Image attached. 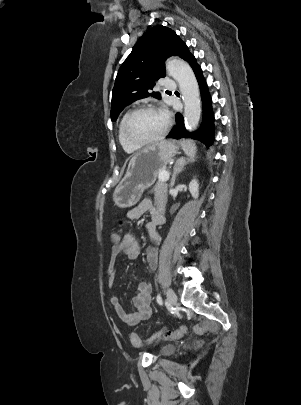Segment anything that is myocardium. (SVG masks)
Segmentation results:
<instances>
[{"instance_id": "obj_1", "label": "myocardium", "mask_w": 301, "mask_h": 405, "mask_svg": "<svg viewBox=\"0 0 301 405\" xmlns=\"http://www.w3.org/2000/svg\"><path fill=\"white\" fill-rule=\"evenodd\" d=\"M142 111H158L160 113L163 114L164 118H165V125L162 129V131L155 137L148 139V140H136L134 139L130 134H129V123L132 119L133 116H135L137 113H140ZM171 126V121L170 118L168 117L167 114H165L164 112L160 111L157 107H155L154 105H142L139 107H136L135 109L131 110L124 118L123 121V125H122V134L124 139L126 140V142H128L130 145L134 146V147H143L146 145H150L153 144L155 142L160 141L161 139H163L166 134L168 133L169 129Z\"/></svg>"}]
</instances>
